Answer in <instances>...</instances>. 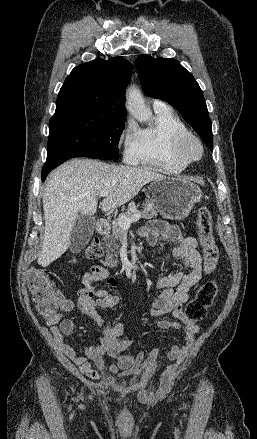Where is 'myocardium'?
Instances as JSON below:
<instances>
[{"mask_svg":"<svg viewBox=\"0 0 257 439\" xmlns=\"http://www.w3.org/2000/svg\"><path fill=\"white\" fill-rule=\"evenodd\" d=\"M195 145L198 148V155L194 156L190 153V148ZM173 152L182 161L187 164L197 162L204 155V145L201 139L188 132L178 136L173 142Z\"/></svg>","mask_w":257,"mask_h":439,"instance_id":"obj_1","label":"myocardium"}]
</instances>
